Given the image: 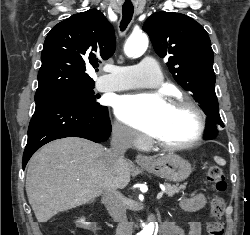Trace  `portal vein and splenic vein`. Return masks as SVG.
Masks as SVG:
<instances>
[{
  "label": "portal vein and splenic vein",
  "mask_w": 250,
  "mask_h": 235,
  "mask_svg": "<svg viewBox=\"0 0 250 235\" xmlns=\"http://www.w3.org/2000/svg\"><path fill=\"white\" fill-rule=\"evenodd\" d=\"M162 195H163V192H162V191L159 192V193L157 194V199H160V198L162 197Z\"/></svg>",
  "instance_id": "1"
}]
</instances>
